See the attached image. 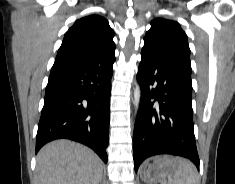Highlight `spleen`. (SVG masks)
Masks as SVG:
<instances>
[{"mask_svg":"<svg viewBox=\"0 0 235 184\" xmlns=\"http://www.w3.org/2000/svg\"><path fill=\"white\" fill-rule=\"evenodd\" d=\"M176 170L170 180H162L161 184H200L196 166L186 158H175Z\"/></svg>","mask_w":235,"mask_h":184,"instance_id":"spleen-1","label":"spleen"}]
</instances>
